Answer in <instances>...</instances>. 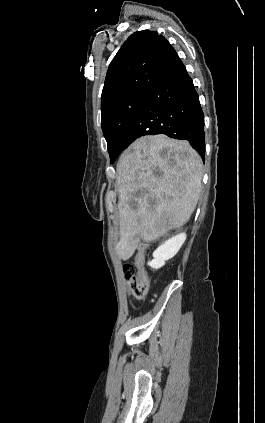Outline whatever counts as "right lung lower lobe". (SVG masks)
Wrapping results in <instances>:
<instances>
[{
    "label": "right lung lower lobe",
    "instance_id": "obj_1",
    "mask_svg": "<svg viewBox=\"0 0 265 423\" xmlns=\"http://www.w3.org/2000/svg\"><path fill=\"white\" fill-rule=\"evenodd\" d=\"M188 140L205 158L204 115L192 79L177 56L123 129L118 150L145 135Z\"/></svg>",
    "mask_w": 265,
    "mask_h": 423
}]
</instances>
